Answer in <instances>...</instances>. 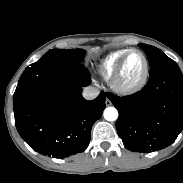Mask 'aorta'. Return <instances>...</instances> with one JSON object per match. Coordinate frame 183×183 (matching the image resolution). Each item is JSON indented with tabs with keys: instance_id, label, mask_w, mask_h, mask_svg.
Returning a JSON list of instances; mask_svg holds the SVG:
<instances>
[{
	"instance_id": "aorta-1",
	"label": "aorta",
	"mask_w": 183,
	"mask_h": 183,
	"mask_svg": "<svg viewBox=\"0 0 183 183\" xmlns=\"http://www.w3.org/2000/svg\"><path fill=\"white\" fill-rule=\"evenodd\" d=\"M103 116L107 121H115L118 118V111L114 107H108L104 110Z\"/></svg>"
}]
</instances>
